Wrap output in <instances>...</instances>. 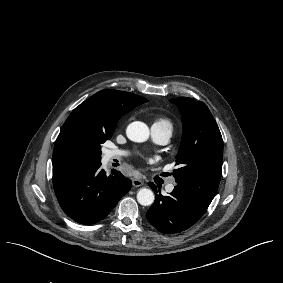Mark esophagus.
Listing matches in <instances>:
<instances>
[{"label":"esophagus","instance_id":"esophagus-1","mask_svg":"<svg viewBox=\"0 0 283 283\" xmlns=\"http://www.w3.org/2000/svg\"><path fill=\"white\" fill-rule=\"evenodd\" d=\"M144 184V182L142 180L139 179H132V185L134 187H140Z\"/></svg>","mask_w":283,"mask_h":283}]
</instances>
